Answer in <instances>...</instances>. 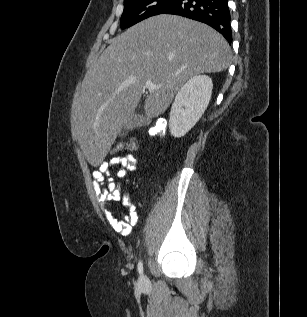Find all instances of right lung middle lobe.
I'll return each instance as SVG.
<instances>
[{
  "mask_svg": "<svg viewBox=\"0 0 307 317\" xmlns=\"http://www.w3.org/2000/svg\"><path fill=\"white\" fill-rule=\"evenodd\" d=\"M174 0H124L121 28H128L148 17L161 14Z\"/></svg>",
  "mask_w": 307,
  "mask_h": 317,
  "instance_id": "1",
  "label": "right lung middle lobe"
}]
</instances>
